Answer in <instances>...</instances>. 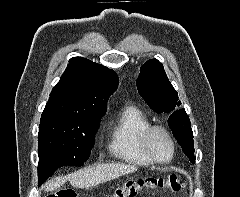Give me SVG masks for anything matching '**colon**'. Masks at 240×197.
<instances>
[{"label":"colon","instance_id":"colon-1","mask_svg":"<svg viewBox=\"0 0 240 197\" xmlns=\"http://www.w3.org/2000/svg\"><path fill=\"white\" fill-rule=\"evenodd\" d=\"M184 187L182 181L175 175L168 177H146L137 178L124 182L117 187L109 197H136L143 189H160L167 192L176 193ZM47 197H77L72 189H62Z\"/></svg>","mask_w":240,"mask_h":197}]
</instances>
